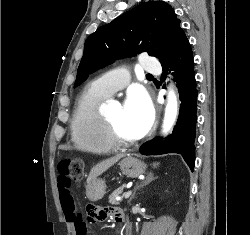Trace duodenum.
Wrapping results in <instances>:
<instances>
[{
	"instance_id": "obj_1",
	"label": "duodenum",
	"mask_w": 250,
	"mask_h": 235,
	"mask_svg": "<svg viewBox=\"0 0 250 235\" xmlns=\"http://www.w3.org/2000/svg\"><path fill=\"white\" fill-rule=\"evenodd\" d=\"M123 215L121 214V216H120V219H119V222H122L123 221Z\"/></svg>"
}]
</instances>
